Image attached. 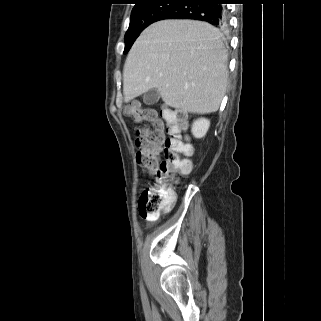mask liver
I'll return each mask as SVG.
<instances>
[{"mask_svg": "<svg viewBox=\"0 0 321 321\" xmlns=\"http://www.w3.org/2000/svg\"><path fill=\"white\" fill-rule=\"evenodd\" d=\"M227 52L208 23L163 20L147 27L127 56L125 102L156 88L163 102L185 112H216L226 91Z\"/></svg>", "mask_w": 321, "mask_h": 321, "instance_id": "liver-1", "label": "liver"}]
</instances>
